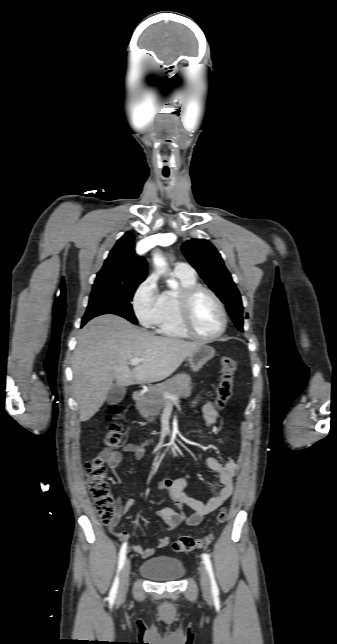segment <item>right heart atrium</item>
I'll list each match as a JSON object with an SVG mask.
<instances>
[{
	"mask_svg": "<svg viewBox=\"0 0 337 644\" xmlns=\"http://www.w3.org/2000/svg\"><path fill=\"white\" fill-rule=\"evenodd\" d=\"M133 308L143 326L150 327L155 324L160 310V293L154 276L144 280L135 291Z\"/></svg>",
	"mask_w": 337,
	"mask_h": 644,
	"instance_id": "1",
	"label": "right heart atrium"
}]
</instances>
